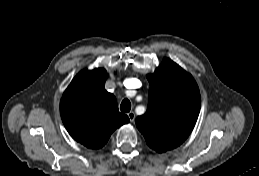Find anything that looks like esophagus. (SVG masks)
Here are the masks:
<instances>
[{
  "instance_id": "1",
  "label": "esophagus",
  "mask_w": 259,
  "mask_h": 176,
  "mask_svg": "<svg viewBox=\"0 0 259 176\" xmlns=\"http://www.w3.org/2000/svg\"><path fill=\"white\" fill-rule=\"evenodd\" d=\"M128 117L130 119V122H134L135 120V113L133 111L128 113Z\"/></svg>"
}]
</instances>
